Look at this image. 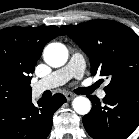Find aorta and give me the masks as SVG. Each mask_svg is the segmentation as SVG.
Returning <instances> with one entry per match:
<instances>
[{"label": "aorta", "instance_id": "obj_1", "mask_svg": "<svg viewBox=\"0 0 139 139\" xmlns=\"http://www.w3.org/2000/svg\"><path fill=\"white\" fill-rule=\"evenodd\" d=\"M45 62L51 67H61L68 60V50L61 43L47 45L43 52ZM73 109L80 115H86L91 110V102L83 96L76 97L72 102Z\"/></svg>", "mask_w": 139, "mask_h": 139}]
</instances>
